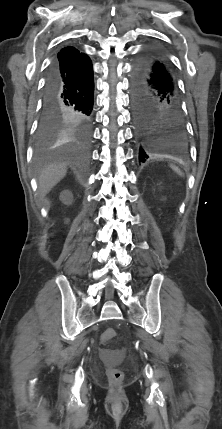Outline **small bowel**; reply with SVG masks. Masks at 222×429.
<instances>
[{
	"instance_id": "obj_1",
	"label": "small bowel",
	"mask_w": 222,
	"mask_h": 429,
	"mask_svg": "<svg viewBox=\"0 0 222 429\" xmlns=\"http://www.w3.org/2000/svg\"><path fill=\"white\" fill-rule=\"evenodd\" d=\"M102 353L106 357L112 356L114 354L112 351H108V350H103Z\"/></svg>"
}]
</instances>
